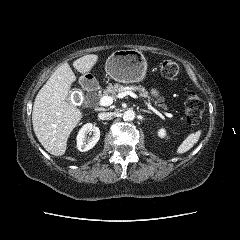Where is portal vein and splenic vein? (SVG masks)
Listing matches in <instances>:
<instances>
[{
    "mask_svg": "<svg viewBox=\"0 0 240 240\" xmlns=\"http://www.w3.org/2000/svg\"><path fill=\"white\" fill-rule=\"evenodd\" d=\"M127 95L132 96L133 93H132L131 91H125V92L119 93V94L117 95V97H118V98H123V97H125V96H127ZM112 103H113V98H112L111 96H102V97L100 98V101H99V104H100L101 106H110ZM165 115H166L167 117H169V118H172V117H173V115H172L171 113H165Z\"/></svg>",
    "mask_w": 240,
    "mask_h": 240,
    "instance_id": "portal-vein-and-splenic-vein-1",
    "label": "portal vein and splenic vein"
}]
</instances>
